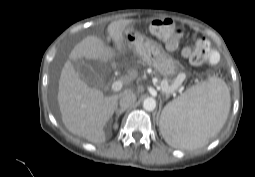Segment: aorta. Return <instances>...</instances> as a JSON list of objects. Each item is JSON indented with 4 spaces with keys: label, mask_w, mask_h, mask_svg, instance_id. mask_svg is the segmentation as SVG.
Masks as SVG:
<instances>
[{
    "label": "aorta",
    "mask_w": 255,
    "mask_h": 177,
    "mask_svg": "<svg viewBox=\"0 0 255 177\" xmlns=\"http://www.w3.org/2000/svg\"><path fill=\"white\" fill-rule=\"evenodd\" d=\"M156 107V100L152 97H148L143 101V108L146 111H153Z\"/></svg>",
    "instance_id": "762f6f07"
}]
</instances>
